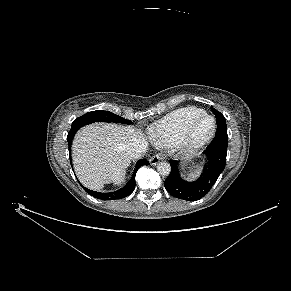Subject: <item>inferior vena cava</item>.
Segmentation results:
<instances>
[{
  "mask_svg": "<svg viewBox=\"0 0 291 291\" xmlns=\"http://www.w3.org/2000/svg\"><path fill=\"white\" fill-rule=\"evenodd\" d=\"M146 151L147 142H145L144 140L143 141L138 140L130 145L128 153L133 159H139L144 155V153H146Z\"/></svg>",
  "mask_w": 291,
  "mask_h": 291,
  "instance_id": "1",
  "label": "inferior vena cava"
}]
</instances>
